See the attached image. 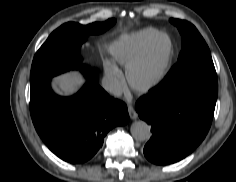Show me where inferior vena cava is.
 Instances as JSON below:
<instances>
[{
	"instance_id": "1",
	"label": "inferior vena cava",
	"mask_w": 236,
	"mask_h": 182,
	"mask_svg": "<svg viewBox=\"0 0 236 182\" xmlns=\"http://www.w3.org/2000/svg\"><path fill=\"white\" fill-rule=\"evenodd\" d=\"M102 87L104 90L112 94L113 96H120L122 94V88L120 83L112 78H103L102 80Z\"/></svg>"
}]
</instances>
